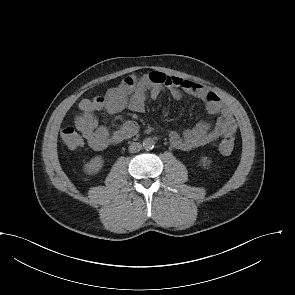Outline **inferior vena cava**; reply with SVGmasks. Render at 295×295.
Instances as JSON below:
<instances>
[{
	"mask_svg": "<svg viewBox=\"0 0 295 295\" xmlns=\"http://www.w3.org/2000/svg\"><path fill=\"white\" fill-rule=\"evenodd\" d=\"M141 149H142V145L140 143H138V142H133L129 146V151L131 153L139 152Z\"/></svg>",
	"mask_w": 295,
	"mask_h": 295,
	"instance_id": "602c4592",
	"label": "inferior vena cava"
}]
</instances>
